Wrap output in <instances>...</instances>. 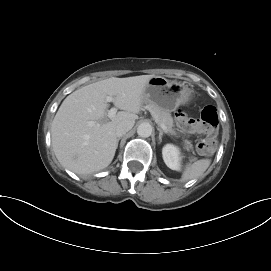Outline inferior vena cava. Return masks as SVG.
<instances>
[{
  "mask_svg": "<svg viewBox=\"0 0 271 271\" xmlns=\"http://www.w3.org/2000/svg\"><path fill=\"white\" fill-rule=\"evenodd\" d=\"M134 126V121L131 120H123L116 127V135L117 137H121L126 134L132 127Z\"/></svg>",
  "mask_w": 271,
  "mask_h": 271,
  "instance_id": "inferior-vena-cava-1",
  "label": "inferior vena cava"
}]
</instances>
